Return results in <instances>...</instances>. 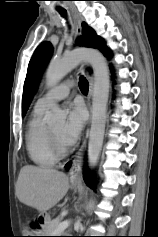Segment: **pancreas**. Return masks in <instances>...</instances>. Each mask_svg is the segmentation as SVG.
Segmentation results:
<instances>
[{
	"label": "pancreas",
	"instance_id": "obj_1",
	"mask_svg": "<svg viewBox=\"0 0 158 237\" xmlns=\"http://www.w3.org/2000/svg\"><path fill=\"white\" fill-rule=\"evenodd\" d=\"M59 224H60L59 219L49 220L45 225V230H44V232L46 233L45 235H47V236L60 235V234H58L59 233V231H58Z\"/></svg>",
	"mask_w": 158,
	"mask_h": 237
}]
</instances>
